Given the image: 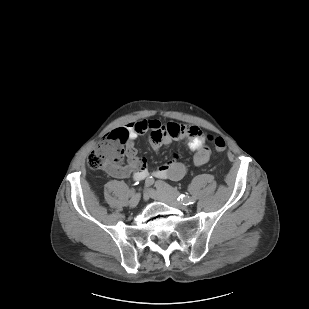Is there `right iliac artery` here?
I'll return each instance as SVG.
<instances>
[{
	"instance_id": "1",
	"label": "right iliac artery",
	"mask_w": 309,
	"mask_h": 309,
	"mask_svg": "<svg viewBox=\"0 0 309 309\" xmlns=\"http://www.w3.org/2000/svg\"><path fill=\"white\" fill-rule=\"evenodd\" d=\"M153 183H154V179L152 177H148L145 181L146 186H151L153 185Z\"/></svg>"
}]
</instances>
